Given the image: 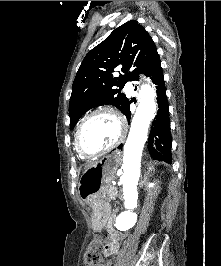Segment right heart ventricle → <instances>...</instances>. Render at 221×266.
<instances>
[{
  "instance_id": "right-heart-ventricle-1",
  "label": "right heart ventricle",
  "mask_w": 221,
  "mask_h": 266,
  "mask_svg": "<svg viewBox=\"0 0 221 266\" xmlns=\"http://www.w3.org/2000/svg\"><path fill=\"white\" fill-rule=\"evenodd\" d=\"M74 146H75V150H76V152H77V154L79 155V157H81V158H85L84 156H82L79 152H78V150H77V148H76V144L74 143Z\"/></svg>"
}]
</instances>
